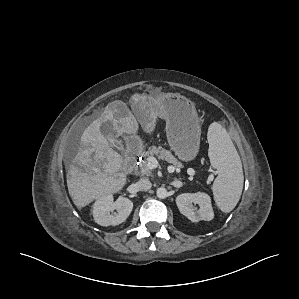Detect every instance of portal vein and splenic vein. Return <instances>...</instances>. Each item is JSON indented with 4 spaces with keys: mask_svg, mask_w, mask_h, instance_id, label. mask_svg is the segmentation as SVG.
Segmentation results:
<instances>
[{
    "mask_svg": "<svg viewBox=\"0 0 299 299\" xmlns=\"http://www.w3.org/2000/svg\"><path fill=\"white\" fill-rule=\"evenodd\" d=\"M148 165L150 168H157L159 166V162L157 161V159L155 157H150L148 159ZM168 172L172 173L174 172L175 168L173 166H168ZM188 174L193 176L196 174V171L192 168L188 169Z\"/></svg>",
    "mask_w": 299,
    "mask_h": 299,
    "instance_id": "obj_1",
    "label": "portal vein and splenic vein"
}]
</instances>
